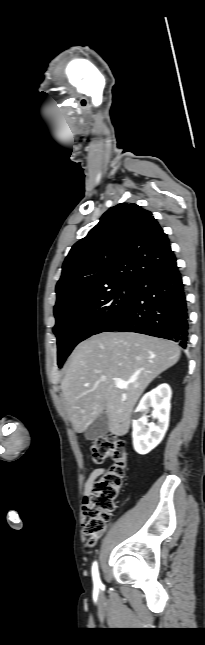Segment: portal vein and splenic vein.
Returning a JSON list of instances; mask_svg holds the SVG:
<instances>
[{
  "mask_svg": "<svg viewBox=\"0 0 205 645\" xmlns=\"http://www.w3.org/2000/svg\"><path fill=\"white\" fill-rule=\"evenodd\" d=\"M134 381H135V380H133V379H132V380H129V381H124V380H122V379H120V378H117V379H115V386H116L117 388L123 389V388H125L127 385H129L130 383H133Z\"/></svg>",
  "mask_w": 205,
  "mask_h": 645,
  "instance_id": "18ae733b",
  "label": "portal vein and splenic vein"
}]
</instances>
